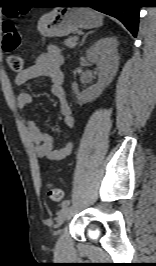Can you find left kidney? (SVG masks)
Segmentation results:
<instances>
[{
    "label": "left kidney",
    "mask_w": 156,
    "mask_h": 266,
    "mask_svg": "<svg viewBox=\"0 0 156 266\" xmlns=\"http://www.w3.org/2000/svg\"><path fill=\"white\" fill-rule=\"evenodd\" d=\"M117 47L118 41L116 37H103L87 50V59L96 63L99 70V77L96 84L82 92H79L77 83L72 84V90L79 104L94 101L112 82L119 65Z\"/></svg>",
    "instance_id": "obj_1"
}]
</instances>
